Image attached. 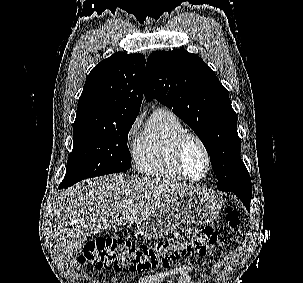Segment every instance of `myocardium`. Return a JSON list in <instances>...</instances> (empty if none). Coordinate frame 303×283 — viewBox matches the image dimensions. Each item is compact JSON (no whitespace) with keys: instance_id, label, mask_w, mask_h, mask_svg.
Listing matches in <instances>:
<instances>
[{"instance_id":"myocardium-1","label":"myocardium","mask_w":303,"mask_h":283,"mask_svg":"<svg viewBox=\"0 0 303 283\" xmlns=\"http://www.w3.org/2000/svg\"><path fill=\"white\" fill-rule=\"evenodd\" d=\"M191 141L196 142L200 146V148L202 149V152L205 156V160H206L205 172L199 178H194L190 175L188 168L186 166V162H185V151H186L187 145ZM175 157H176V162H177L179 169L181 170L183 175L189 181L199 182V181L203 180L211 170L212 160H211V155L208 150V147H207L206 143L203 141V139L195 133L185 132L183 135H181V137L178 139V141L176 143Z\"/></svg>"}]
</instances>
